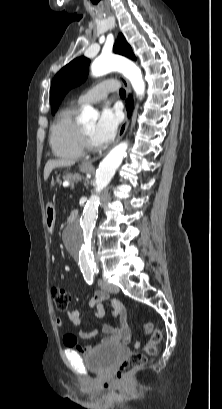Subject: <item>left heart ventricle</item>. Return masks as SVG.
Listing matches in <instances>:
<instances>
[{"label": "left heart ventricle", "mask_w": 222, "mask_h": 409, "mask_svg": "<svg viewBox=\"0 0 222 409\" xmlns=\"http://www.w3.org/2000/svg\"><path fill=\"white\" fill-rule=\"evenodd\" d=\"M95 126H96L95 123H90V124H86L83 126L93 144H94V141H93L92 135H93Z\"/></svg>", "instance_id": "obj_1"}]
</instances>
